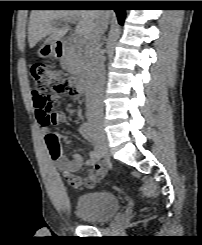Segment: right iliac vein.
Here are the masks:
<instances>
[{
    "label": "right iliac vein",
    "instance_id": "right-iliac-vein-1",
    "mask_svg": "<svg viewBox=\"0 0 202 245\" xmlns=\"http://www.w3.org/2000/svg\"><path fill=\"white\" fill-rule=\"evenodd\" d=\"M88 119H89V122L91 123V125L93 126V128L95 129L96 133L98 134L100 142L105 143L106 142V135L104 132L103 122L101 120H97L91 116Z\"/></svg>",
    "mask_w": 202,
    "mask_h": 245
}]
</instances>
